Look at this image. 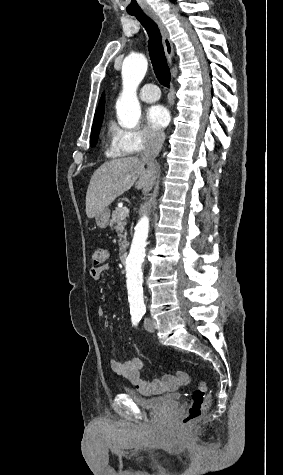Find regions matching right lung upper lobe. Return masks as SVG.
Listing matches in <instances>:
<instances>
[{
  "label": "right lung upper lobe",
  "mask_w": 283,
  "mask_h": 475,
  "mask_svg": "<svg viewBox=\"0 0 283 475\" xmlns=\"http://www.w3.org/2000/svg\"><path fill=\"white\" fill-rule=\"evenodd\" d=\"M105 104V95L104 93L102 94L101 98H100V101H99V105L98 106H101V105H104Z\"/></svg>",
  "instance_id": "cb5924a9"
}]
</instances>
